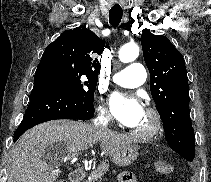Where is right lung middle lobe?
<instances>
[{
    "label": "right lung middle lobe",
    "instance_id": "right-lung-middle-lobe-1",
    "mask_svg": "<svg viewBox=\"0 0 211 182\" xmlns=\"http://www.w3.org/2000/svg\"><path fill=\"white\" fill-rule=\"evenodd\" d=\"M49 67L61 80L75 91L81 99L93 103L94 92L97 86V77L88 76L85 73L69 66L52 62Z\"/></svg>",
    "mask_w": 211,
    "mask_h": 182
}]
</instances>
